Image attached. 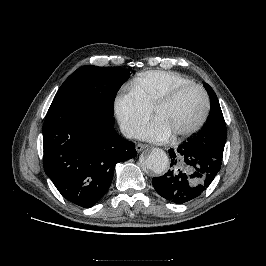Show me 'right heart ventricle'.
<instances>
[{
  "label": "right heart ventricle",
  "mask_w": 266,
  "mask_h": 266,
  "mask_svg": "<svg viewBox=\"0 0 266 266\" xmlns=\"http://www.w3.org/2000/svg\"><path fill=\"white\" fill-rule=\"evenodd\" d=\"M189 78L172 71L151 70L140 73L129 84L147 107L152 109L156 102L176 86L192 83Z\"/></svg>",
  "instance_id": "right-heart-ventricle-1"
}]
</instances>
